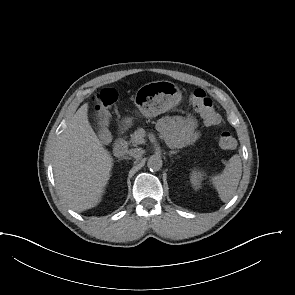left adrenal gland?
I'll return each instance as SVG.
<instances>
[{
  "label": "left adrenal gland",
  "mask_w": 295,
  "mask_h": 295,
  "mask_svg": "<svg viewBox=\"0 0 295 295\" xmlns=\"http://www.w3.org/2000/svg\"><path fill=\"white\" fill-rule=\"evenodd\" d=\"M178 151H169L168 155L171 156L172 154H177Z\"/></svg>",
  "instance_id": "left-adrenal-gland-1"
}]
</instances>
